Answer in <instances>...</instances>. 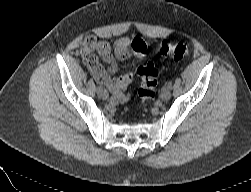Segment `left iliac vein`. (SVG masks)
Returning <instances> with one entry per match:
<instances>
[{"label": "left iliac vein", "mask_w": 251, "mask_h": 192, "mask_svg": "<svg viewBox=\"0 0 251 192\" xmlns=\"http://www.w3.org/2000/svg\"><path fill=\"white\" fill-rule=\"evenodd\" d=\"M171 97V91H170V88H168L167 86H164L161 90V93H160V98L163 100V101H167L169 100Z\"/></svg>", "instance_id": "left-iliac-vein-1"}]
</instances>
